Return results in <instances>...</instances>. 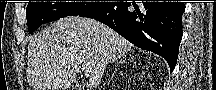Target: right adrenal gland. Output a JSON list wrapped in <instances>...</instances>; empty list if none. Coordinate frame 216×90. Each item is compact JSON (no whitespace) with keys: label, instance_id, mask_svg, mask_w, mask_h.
<instances>
[{"label":"right adrenal gland","instance_id":"obj_1","mask_svg":"<svg viewBox=\"0 0 216 90\" xmlns=\"http://www.w3.org/2000/svg\"><path fill=\"white\" fill-rule=\"evenodd\" d=\"M120 64H127V56H123V58H121L120 62H116L114 74H116V72L118 70V66H120ZM114 74H113L112 78H114ZM112 78H111V80H112Z\"/></svg>","mask_w":216,"mask_h":90}]
</instances>
